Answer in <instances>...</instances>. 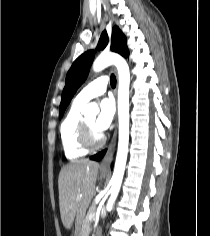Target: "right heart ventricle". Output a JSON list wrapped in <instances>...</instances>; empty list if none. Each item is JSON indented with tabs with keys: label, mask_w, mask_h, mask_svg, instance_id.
Returning <instances> with one entry per match:
<instances>
[{
	"label": "right heart ventricle",
	"mask_w": 210,
	"mask_h": 236,
	"mask_svg": "<svg viewBox=\"0 0 210 236\" xmlns=\"http://www.w3.org/2000/svg\"><path fill=\"white\" fill-rule=\"evenodd\" d=\"M84 105L75 99L61 124V145L65 157L69 160L79 159L89 152L80 143V129L83 120L81 110Z\"/></svg>",
	"instance_id": "1"
}]
</instances>
